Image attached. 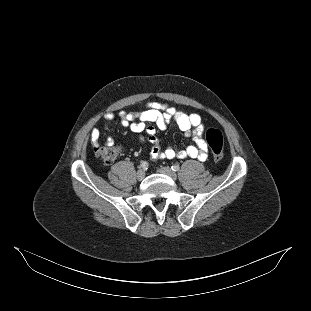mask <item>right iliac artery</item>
I'll return each instance as SVG.
<instances>
[{"mask_svg":"<svg viewBox=\"0 0 311 311\" xmlns=\"http://www.w3.org/2000/svg\"><path fill=\"white\" fill-rule=\"evenodd\" d=\"M140 167L142 168V169H147L148 168V163L146 162V161H143L141 164H140Z\"/></svg>","mask_w":311,"mask_h":311,"instance_id":"right-iliac-artery-1","label":"right iliac artery"}]
</instances>
